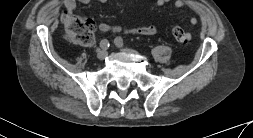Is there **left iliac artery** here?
<instances>
[{
	"mask_svg": "<svg viewBox=\"0 0 253 138\" xmlns=\"http://www.w3.org/2000/svg\"><path fill=\"white\" fill-rule=\"evenodd\" d=\"M114 42L117 46H120V47L124 45L123 39L121 37H116Z\"/></svg>",
	"mask_w": 253,
	"mask_h": 138,
	"instance_id": "1",
	"label": "left iliac artery"
}]
</instances>
